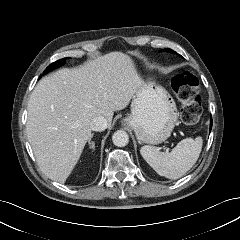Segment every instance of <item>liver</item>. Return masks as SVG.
<instances>
[{
    "instance_id": "obj_1",
    "label": "liver",
    "mask_w": 240,
    "mask_h": 240,
    "mask_svg": "<svg viewBox=\"0 0 240 240\" xmlns=\"http://www.w3.org/2000/svg\"><path fill=\"white\" fill-rule=\"evenodd\" d=\"M133 60L111 52L42 78L28 102L26 132L41 171L64 183L91 138L97 116L111 125L142 85Z\"/></svg>"
}]
</instances>
